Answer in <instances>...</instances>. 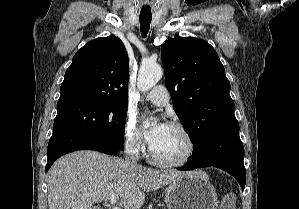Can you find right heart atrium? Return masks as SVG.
Here are the masks:
<instances>
[{
    "instance_id": "obj_1",
    "label": "right heart atrium",
    "mask_w": 299,
    "mask_h": 209,
    "mask_svg": "<svg viewBox=\"0 0 299 209\" xmlns=\"http://www.w3.org/2000/svg\"><path fill=\"white\" fill-rule=\"evenodd\" d=\"M125 146L134 154H139L143 150L141 133L132 117H127L124 126Z\"/></svg>"
}]
</instances>
